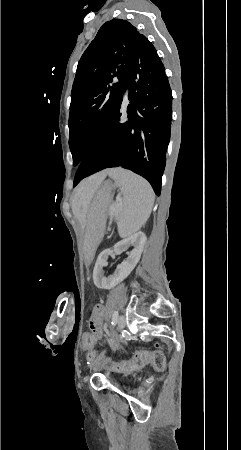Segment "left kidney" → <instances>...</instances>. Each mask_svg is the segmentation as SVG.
<instances>
[{
	"instance_id": "obj_1",
	"label": "left kidney",
	"mask_w": 241,
	"mask_h": 450,
	"mask_svg": "<svg viewBox=\"0 0 241 450\" xmlns=\"http://www.w3.org/2000/svg\"><path fill=\"white\" fill-rule=\"evenodd\" d=\"M146 242L147 238L144 232H136V234L129 236L126 240L117 242L114 246V250H103V252L99 254L93 270V280L95 286H97V288H101V290H111V288H114V286H117V284L123 282V280L131 274L135 266H137ZM130 246H134V248L132 252H128V258H126L122 264L117 266L113 276H108V278H105L102 268L107 266L108 256L121 254L124 250H128Z\"/></svg>"
}]
</instances>
